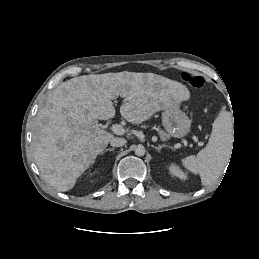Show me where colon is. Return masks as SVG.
I'll return each instance as SVG.
<instances>
[{
  "instance_id": "colon-1",
  "label": "colon",
  "mask_w": 259,
  "mask_h": 259,
  "mask_svg": "<svg viewBox=\"0 0 259 259\" xmlns=\"http://www.w3.org/2000/svg\"><path fill=\"white\" fill-rule=\"evenodd\" d=\"M181 78L183 81H185L187 84H189L191 87L195 89H200L204 85V79L202 77L192 75L188 72H182Z\"/></svg>"
}]
</instances>
